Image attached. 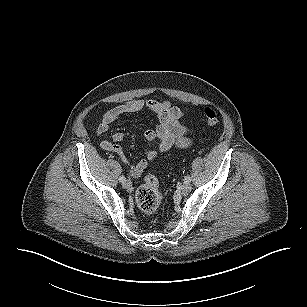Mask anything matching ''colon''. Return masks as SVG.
<instances>
[{"label": "colon", "instance_id": "1", "mask_svg": "<svg viewBox=\"0 0 307 307\" xmlns=\"http://www.w3.org/2000/svg\"><path fill=\"white\" fill-rule=\"evenodd\" d=\"M207 124L214 126L218 123L217 112L211 108L204 109ZM162 200V192L159 188V181L153 174L145 177L144 183L138 188L136 192V203L139 209L148 214L156 215Z\"/></svg>", "mask_w": 307, "mask_h": 307}]
</instances>
